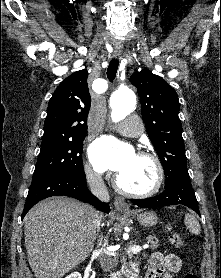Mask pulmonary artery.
Segmentation results:
<instances>
[{"label":"pulmonary artery","mask_w":221,"mask_h":278,"mask_svg":"<svg viewBox=\"0 0 221 278\" xmlns=\"http://www.w3.org/2000/svg\"><path fill=\"white\" fill-rule=\"evenodd\" d=\"M115 128L122 135L131 137L140 135L143 130L141 122L132 117H129L125 122L116 125Z\"/></svg>","instance_id":"e3ab8cb5"}]
</instances>
